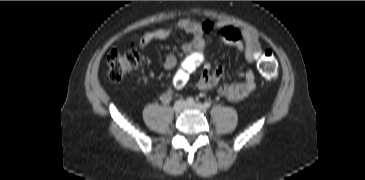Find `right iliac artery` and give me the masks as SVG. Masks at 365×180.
Instances as JSON below:
<instances>
[{
  "mask_svg": "<svg viewBox=\"0 0 365 180\" xmlns=\"http://www.w3.org/2000/svg\"><path fill=\"white\" fill-rule=\"evenodd\" d=\"M186 103H187L188 105H193V104H194V99H193V98H191V97H189V98H187V99H186Z\"/></svg>",
  "mask_w": 365,
  "mask_h": 180,
  "instance_id": "right-iliac-artery-1",
  "label": "right iliac artery"
}]
</instances>
